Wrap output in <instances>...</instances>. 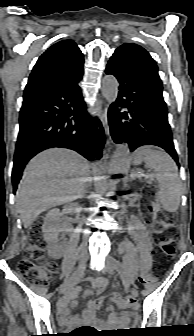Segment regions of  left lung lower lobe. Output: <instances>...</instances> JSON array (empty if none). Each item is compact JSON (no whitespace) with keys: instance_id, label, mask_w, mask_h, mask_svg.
Listing matches in <instances>:
<instances>
[{"instance_id":"0a47b994","label":"left lung lower lobe","mask_w":194,"mask_h":336,"mask_svg":"<svg viewBox=\"0 0 194 336\" xmlns=\"http://www.w3.org/2000/svg\"><path fill=\"white\" fill-rule=\"evenodd\" d=\"M106 74L114 75L119 81L118 98L108 111L113 140L126 142L131 151L143 145L159 146L178 164L162 89L126 50L114 52ZM118 107L126 111L119 113Z\"/></svg>"}]
</instances>
